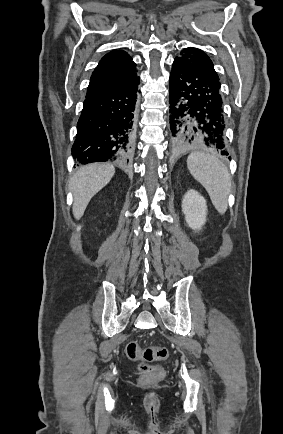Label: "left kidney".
Masks as SVG:
<instances>
[{
  "label": "left kidney",
  "mask_w": 283,
  "mask_h": 434,
  "mask_svg": "<svg viewBox=\"0 0 283 434\" xmlns=\"http://www.w3.org/2000/svg\"><path fill=\"white\" fill-rule=\"evenodd\" d=\"M182 212L188 226L193 230H200L206 222V200L197 191L190 189L182 201Z\"/></svg>",
  "instance_id": "5707ae66"
}]
</instances>
